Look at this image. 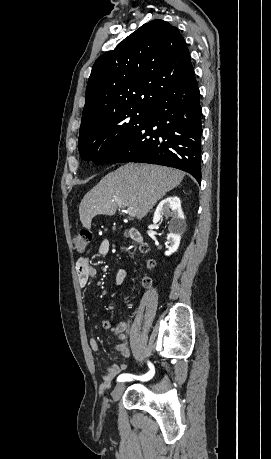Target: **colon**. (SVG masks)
Wrapping results in <instances>:
<instances>
[{"mask_svg":"<svg viewBox=\"0 0 271 459\" xmlns=\"http://www.w3.org/2000/svg\"><path fill=\"white\" fill-rule=\"evenodd\" d=\"M92 240V233L87 229H81L76 232L72 237V246L77 252L83 253L87 250L89 243ZM153 263L150 262V265ZM144 284H148L149 281L145 279Z\"/></svg>","mask_w":271,"mask_h":459,"instance_id":"1","label":"colon"}]
</instances>
